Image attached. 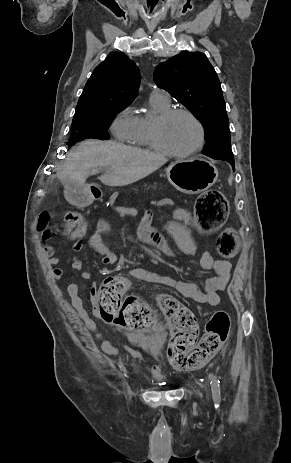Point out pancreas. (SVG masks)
Wrapping results in <instances>:
<instances>
[{
  "mask_svg": "<svg viewBox=\"0 0 291 463\" xmlns=\"http://www.w3.org/2000/svg\"><path fill=\"white\" fill-rule=\"evenodd\" d=\"M166 189L161 183L154 182V183H145L141 186V189L136 188L135 191L144 193V194H151V195H158L161 194Z\"/></svg>",
  "mask_w": 291,
  "mask_h": 463,
  "instance_id": "pancreas-1",
  "label": "pancreas"
}]
</instances>
